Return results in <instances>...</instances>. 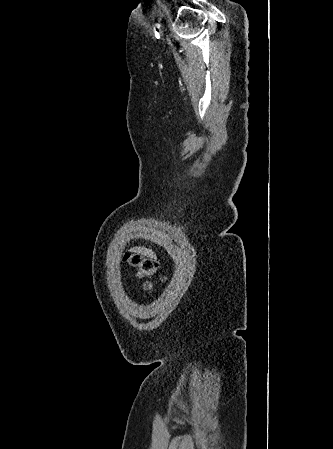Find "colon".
Segmentation results:
<instances>
[{
    "mask_svg": "<svg viewBox=\"0 0 333 449\" xmlns=\"http://www.w3.org/2000/svg\"><path fill=\"white\" fill-rule=\"evenodd\" d=\"M124 262L133 268L140 278H153L158 272L156 260L144 257L137 253H127L124 255ZM145 288H151L149 281L145 282Z\"/></svg>",
    "mask_w": 333,
    "mask_h": 449,
    "instance_id": "colon-1",
    "label": "colon"
}]
</instances>
